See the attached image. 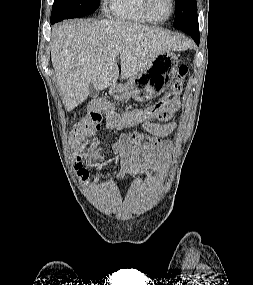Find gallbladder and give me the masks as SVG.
<instances>
[{"label": "gallbladder", "mask_w": 253, "mask_h": 285, "mask_svg": "<svg viewBox=\"0 0 253 285\" xmlns=\"http://www.w3.org/2000/svg\"><path fill=\"white\" fill-rule=\"evenodd\" d=\"M88 91L90 97L95 98L98 96V89L93 84H89Z\"/></svg>", "instance_id": "1"}]
</instances>
